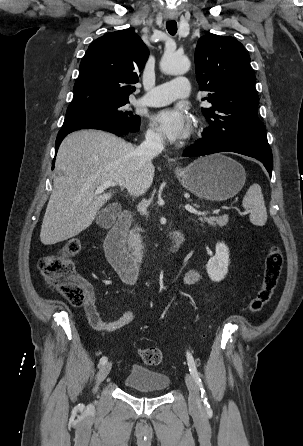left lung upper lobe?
Masks as SVG:
<instances>
[{
  "label": "left lung upper lobe",
  "instance_id": "left-lung-upper-lobe-1",
  "mask_svg": "<svg viewBox=\"0 0 303 446\" xmlns=\"http://www.w3.org/2000/svg\"><path fill=\"white\" fill-rule=\"evenodd\" d=\"M194 58L199 89L210 92L204 99L212 104L202 108L209 122L203 139L269 146L257 115L255 74L243 45L231 36L209 33L199 39Z\"/></svg>",
  "mask_w": 303,
  "mask_h": 446
}]
</instances>
